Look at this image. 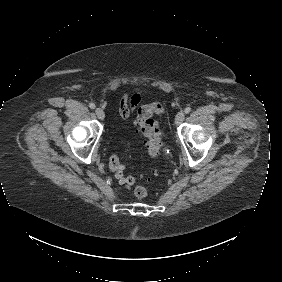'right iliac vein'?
<instances>
[{"instance_id": "obj_1", "label": "right iliac vein", "mask_w": 282, "mask_h": 282, "mask_svg": "<svg viewBox=\"0 0 282 282\" xmlns=\"http://www.w3.org/2000/svg\"><path fill=\"white\" fill-rule=\"evenodd\" d=\"M95 113L100 120L104 119L105 113L102 108H96Z\"/></svg>"}]
</instances>
